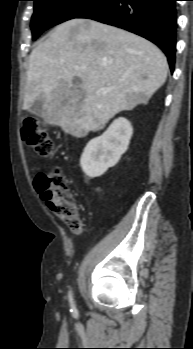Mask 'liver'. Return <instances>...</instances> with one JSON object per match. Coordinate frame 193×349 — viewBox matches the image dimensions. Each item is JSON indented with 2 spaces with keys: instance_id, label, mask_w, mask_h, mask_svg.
Listing matches in <instances>:
<instances>
[{
  "instance_id": "6515ba94",
  "label": "liver",
  "mask_w": 193,
  "mask_h": 349,
  "mask_svg": "<svg viewBox=\"0 0 193 349\" xmlns=\"http://www.w3.org/2000/svg\"><path fill=\"white\" fill-rule=\"evenodd\" d=\"M167 74L165 55L148 40L93 20L72 19L32 50L23 108L41 100L45 125L81 138L103 129L117 113L146 104Z\"/></svg>"
}]
</instances>
